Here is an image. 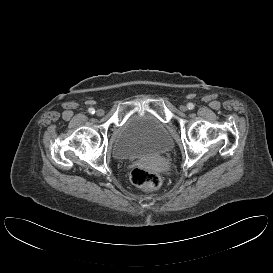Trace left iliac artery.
<instances>
[{"mask_svg":"<svg viewBox=\"0 0 273 273\" xmlns=\"http://www.w3.org/2000/svg\"><path fill=\"white\" fill-rule=\"evenodd\" d=\"M187 107L189 110H192L194 108V104L193 103H188Z\"/></svg>","mask_w":273,"mask_h":273,"instance_id":"obj_1","label":"left iliac artery"}]
</instances>
